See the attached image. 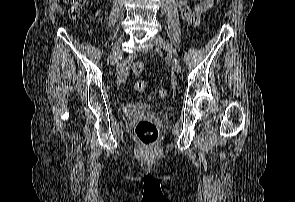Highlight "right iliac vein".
Returning a JSON list of instances; mask_svg holds the SVG:
<instances>
[{"label": "right iliac vein", "instance_id": "63e3f726", "mask_svg": "<svg viewBox=\"0 0 295 202\" xmlns=\"http://www.w3.org/2000/svg\"><path fill=\"white\" fill-rule=\"evenodd\" d=\"M123 41V37H120L118 41L113 45L112 51H111V56H110V61L113 63L120 53V48H121V43Z\"/></svg>", "mask_w": 295, "mask_h": 202}]
</instances>
